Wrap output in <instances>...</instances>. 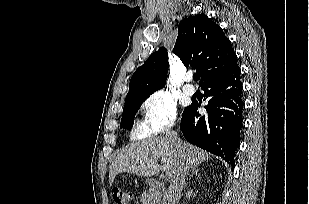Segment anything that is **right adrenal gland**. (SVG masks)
I'll return each instance as SVG.
<instances>
[{"label":"right adrenal gland","instance_id":"right-adrenal-gland-1","mask_svg":"<svg viewBox=\"0 0 309 204\" xmlns=\"http://www.w3.org/2000/svg\"><path fill=\"white\" fill-rule=\"evenodd\" d=\"M193 176L199 177V169L198 168L192 169V174L190 175V177H193ZM185 187H186V184L184 186V189H185Z\"/></svg>","mask_w":309,"mask_h":204}]
</instances>
